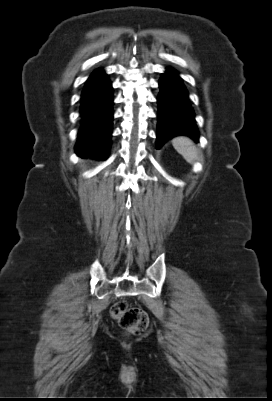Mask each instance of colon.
Returning a JSON list of instances; mask_svg holds the SVG:
<instances>
[{
  "mask_svg": "<svg viewBox=\"0 0 272 401\" xmlns=\"http://www.w3.org/2000/svg\"><path fill=\"white\" fill-rule=\"evenodd\" d=\"M110 315L130 334H139L148 326L147 313L139 307L128 306L124 300H119L111 306Z\"/></svg>",
  "mask_w": 272,
  "mask_h": 401,
  "instance_id": "obj_1",
  "label": "colon"
}]
</instances>
